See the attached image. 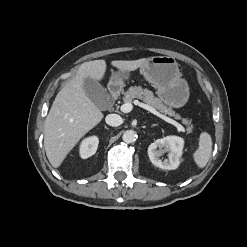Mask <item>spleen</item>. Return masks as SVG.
Returning <instances> with one entry per match:
<instances>
[{
	"label": "spleen",
	"mask_w": 247,
	"mask_h": 247,
	"mask_svg": "<svg viewBox=\"0 0 247 247\" xmlns=\"http://www.w3.org/2000/svg\"><path fill=\"white\" fill-rule=\"evenodd\" d=\"M212 151V139L210 134L202 132L199 138L198 149L194 152L193 158L198 168L206 166Z\"/></svg>",
	"instance_id": "3e777b00"
}]
</instances>
